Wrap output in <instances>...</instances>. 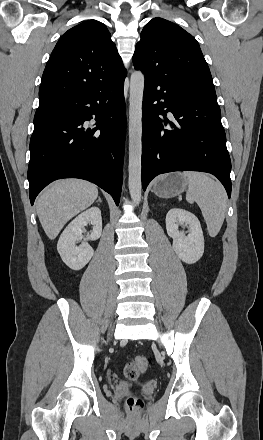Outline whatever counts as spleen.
I'll return each mask as SVG.
<instances>
[{
    "label": "spleen",
    "mask_w": 263,
    "mask_h": 440,
    "mask_svg": "<svg viewBox=\"0 0 263 440\" xmlns=\"http://www.w3.org/2000/svg\"><path fill=\"white\" fill-rule=\"evenodd\" d=\"M181 176L188 184L186 200L198 204L209 235L215 237L222 227L227 211V194L224 187L202 172L185 171Z\"/></svg>",
    "instance_id": "1"
}]
</instances>
